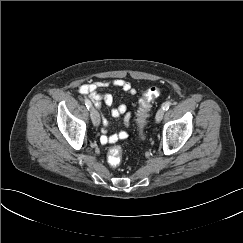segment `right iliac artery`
<instances>
[{
  "label": "right iliac artery",
  "instance_id": "82829eb1",
  "mask_svg": "<svg viewBox=\"0 0 243 243\" xmlns=\"http://www.w3.org/2000/svg\"><path fill=\"white\" fill-rule=\"evenodd\" d=\"M85 105L88 109H92V104L88 99H85Z\"/></svg>",
  "mask_w": 243,
  "mask_h": 243
}]
</instances>
